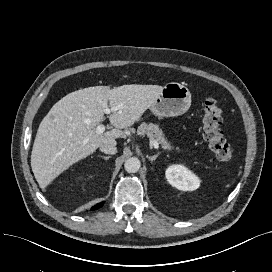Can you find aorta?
Wrapping results in <instances>:
<instances>
[{
    "label": "aorta",
    "mask_w": 272,
    "mask_h": 272,
    "mask_svg": "<svg viewBox=\"0 0 272 272\" xmlns=\"http://www.w3.org/2000/svg\"><path fill=\"white\" fill-rule=\"evenodd\" d=\"M141 167V162L138 158L132 157L125 161L124 168L128 173H136Z\"/></svg>",
    "instance_id": "762f6f07"
}]
</instances>
